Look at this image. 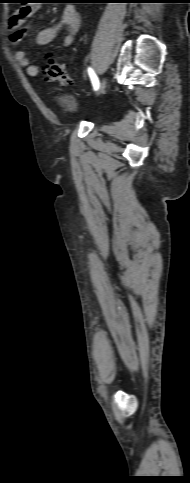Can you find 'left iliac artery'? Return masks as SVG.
Here are the masks:
<instances>
[{
    "label": "left iliac artery",
    "instance_id": "obj_1",
    "mask_svg": "<svg viewBox=\"0 0 190 483\" xmlns=\"http://www.w3.org/2000/svg\"><path fill=\"white\" fill-rule=\"evenodd\" d=\"M88 73H89V76H90L94 90H98L99 89L98 77L96 76V74L94 73L92 68H90V67L88 68Z\"/></svg>",
    "mask_w": 190,
    "mask_h": 483
}]
</instances>
